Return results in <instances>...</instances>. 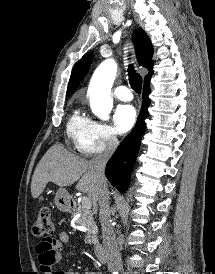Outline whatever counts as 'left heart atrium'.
Segmentation results:
<instances>
[{"mask_svg":"<svg viewBox=\"0 0 215 274\" xmlns=\"http://www.w3.org/2000/svg\"><path fill=\"white\" fill-rule=\"evenodd\" d=\"M114 122L120 133L128 132L136 122V110L131 105H120L115 111Z\"/></svg>","mask_w":215,"mask_h":274,"instance_id":"obj_1","label":"left heart atrium"}]
</instances>
